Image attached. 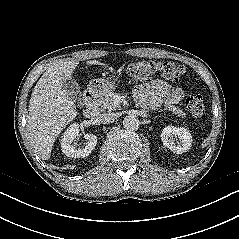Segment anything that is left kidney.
Returning <instances> with one entry per match:
<instances>
[{"mask_svg":"<svg viewBox=\"0 0 239 239\" xmlns=\"http://www.w3.org/2000/svg\"><path fill=\"white\" fill-rule=\"evenodd\" d=\"M161 140L172 152L182 154L191 148L192 136L183 127L167 126L161 133Z\"/></svg>","mask_w":239,"mask_h":239,"instance_id":"5707ae66","label":"left kidney"}]
</instances>
